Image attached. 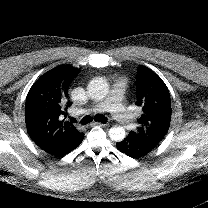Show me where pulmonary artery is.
Returning <instances> with one entry per match:
<instances>
[{
  "instance_id": "obj_1",
  "label": "pulmonary artery",
  "mask_w": 208,
  "mask_h": 208,
  "mask_svg": "<svg viewBox=\"0 0 208 208\" xmlns=\"http://www.w3.org/2000/svg\"><path fill=\"white\" fill-rule=\"evenodd\" d=\"M128 86V80L118 78L115 80L108 97L105 100L95 101L88 108L82 110V113L89 111H108L113 115V118L120 124L121 128L136 129V126L131 124L133 114L129 107L126 106L125 91Z\"/></svg>"
}]
</instances>
